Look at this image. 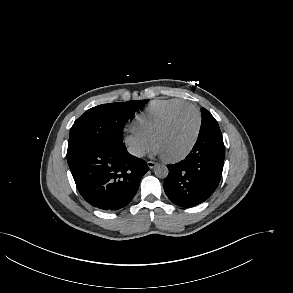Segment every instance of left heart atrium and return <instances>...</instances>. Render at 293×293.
Listing matches in <instances>:
<instances>
[{
  "label": "left heart atrium",
  "instance_id": "left-heart-atrium-1",
  "mask_svg": "<svg viewBox=\"0 0 293 293\" xmlns=\"http://www.w3.org/2000/svg\"><path fill=\"white\" fill-rule=\"evenodd\" d=\"M153 154L155 155H162V152L160 151V149L154 145L153 147Z\"/></svg>",
  "mask_w": 293,
  "mask_h": 293
}]
</instances>
